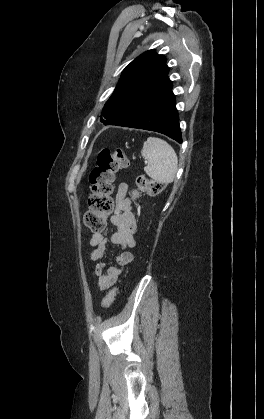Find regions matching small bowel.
<instances>
[{
  "label": "small bowel",
  "instance_id": "small-bowel-1",
  "mask_svg": "<svg viewBox=\"0 0 264 419\" xmlns=\"http://www.w3.org/2000/svg\"><path fill=\"white\" fill-rule=\"evenodd\" d=\"M128 185L120 183L115 196V210L110 216L113 233L110 242L121 247L116 257L118 267H108L103 261L108 239V229L94 233L89 240L92 250L89 254L91 261L98 263L94 267V274L101 290L113 286L124 269L133 262L134 254L129 250L135 247L134 233L137 229L135 217L131 211V202L127 197Z\"/></svg>",
  "mask_w": 264,
  "mask_h": 419
}]
</instances>
